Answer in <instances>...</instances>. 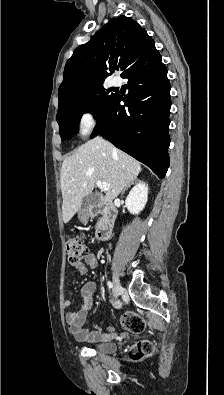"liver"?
Here are the masks:
<instances>
[{"label": "liver", "instance_id": "6515ba94", "mask_svg": "<svg viewBox=\"0 0 224 395\" xmlns=\"http://www.w3.org/2000/svg\"><path fill=\"white\" fill-rule=\"evenodd\" d=\"M141 172L140 163L101 137L81 145L62 163V217L68 223L100 180L110 188L102 203H111Z\"/></svg>", "mask_w": 224, "mask_h": 395}]
</instances>
